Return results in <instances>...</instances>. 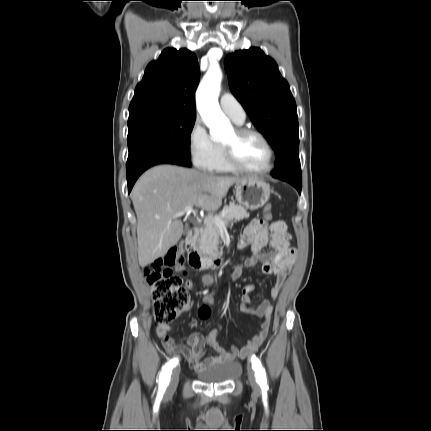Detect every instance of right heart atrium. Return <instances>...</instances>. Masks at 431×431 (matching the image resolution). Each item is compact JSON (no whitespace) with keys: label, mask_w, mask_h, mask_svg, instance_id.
<instances>
[{"label":"right heart atrium","mask_w":431,"mask_h":431,"mask_svg":"<svg viewBox=\"0 0 431 431\" xmlns=\"http://www.w3.org/2000/svg\"><path fill=\"white\" fill-rule=\"evenodd\" d=\"M188 150L194 166L212 171L220 155L221 146L208 133L200 119H196L188 133Z\"/></svg>","instance_id":"right-heart-atrium-1"}]
</instances>
